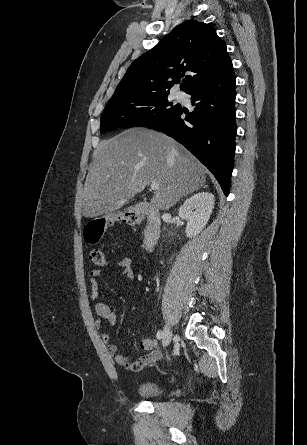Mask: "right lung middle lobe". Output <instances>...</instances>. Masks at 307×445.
<instances>
[{
    "label": "right lung middle lobe",
    "mask_w": 307,
    "mask_h": 445,
    "mask_svg": "<svg viewBox=\"0 0 307 445\" xmlns=\"http://www.w3.org/2000/svg\"><path fill=\"white\" fill-rule=\"evenodd\" d=\"M180 107L168 101V93L111 98L102 115L100 132L121 127H146Z\"/></svg>",
    "instance_id": "dd1d6c3e"
}]
</instances>
